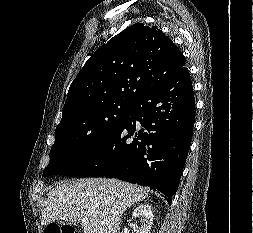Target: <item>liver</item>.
<instances>
[{"mask_svg":"<svg viewBox=\"0 0 253 233\" xmlns=\"http://www.w3.org/2000/svg\"><path fill=\"white\" fill-rule=\"evenodd\" d=\"M148 191L116 179L66 180L47 194L41 223L60 219L81 223L84 233H117L123 212L145 199Z\"/></svg>","mask_w":253,"mask_h":233,"instance_id":"1","label":"liver"}]
</instances>
